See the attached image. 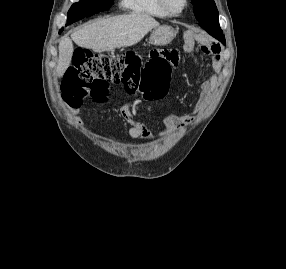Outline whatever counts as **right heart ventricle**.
<instances>
[{
    "instance_id": "right-heart-ventricle-1",
    "label": "right heart ventricle",
    "mask_w": 286,
    "mask_h": 269,
    "mask_svg": "<svg viewBox=\"0 0 286 269\" xmlns=\"http://www.w3.org/2000/svg\"><path fill=\"white\" fill-rule=\"evenodd\" d=\"M119 4L121 9L130 14L156 18L168 17L158 0H120Z\"/></svg>"
}]
</instances>
